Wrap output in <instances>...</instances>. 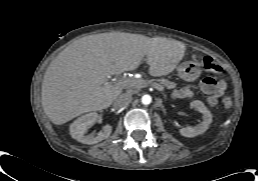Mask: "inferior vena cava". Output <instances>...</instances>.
Returning a JSON list of instances; mask_svg holds the SVG:
<instances>
[{
  "mask_svg": "<svg viewBox=\"0 0 258 181\" xmlns=\"http://www.w3.org/2000/svg\"><path fill=\"white\" fill-rule=\"evenodd\" d=\"M131 98H132L131 93H128V92L122 93L117 97L115 104L118 107H122V106L126 105L128 102H130Z\"/></svg>",
  "mask_w": 258,
  "mask_h": 181,
  "instance_id": "1",
  "label": "inferior vena cava"
}]
</instances>
